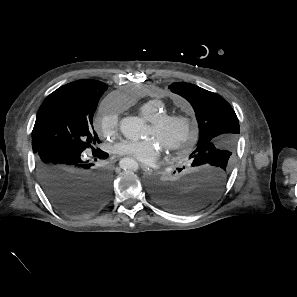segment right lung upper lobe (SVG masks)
Instances as JSON below:
<instances>
[{
    "instance_id": "right-lung-upper-lobe-1",
    "label": "right lung upper lobe",
    "mask_w": 297,
    "mask_h": 297,
    "mask_svg": "<svg viewBox=\"0 0 297 297\" xmlns=\"http://www.w3.org/2000/svg\"><path fill=\"white\" fill-rule=\"evenodd\" d=\"M108 86L100 81L86 79V80H78L64 86H61L53 93H51L42 103L39 111H42L44 106L51 102L52 100L64 95V94H79L84 96H96L102 95ZM38 111V112H39ZM37 119V117H36ZM35 126V125H34Z\"/></svg>"
}]
</instances>
